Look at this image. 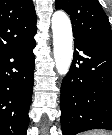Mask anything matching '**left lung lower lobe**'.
<instances>
[{"label":"left lung lower lobe","mask_w":112,"mask_h":135,"mask_svg":"<svg viewBox=\"0 0 112 135\" xmlns=\"http://www.w3.org/2000/svg\"><path fill=\"white\" fill-rule=\"evenodd\" d=\"M63 135L112 130V44L74 39L71 68L61 85Z\"/></svg>","instance_id":"left-lung-lower-lobe-1"}]
</instances>
